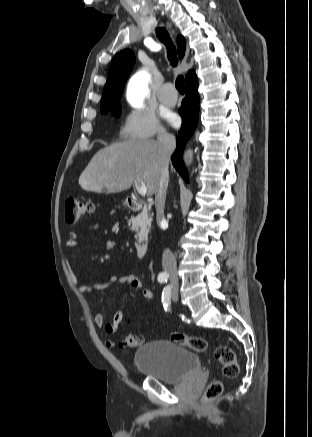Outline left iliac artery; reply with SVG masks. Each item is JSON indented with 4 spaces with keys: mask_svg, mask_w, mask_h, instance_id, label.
I'll return each instance as SVG.
<instances>
[{
    "mask_svg": "<svg viewBox=\"0 0 312 437\" xmlns=\"http://www.w3.org/2000/svg\"><path fill=\"white\" fill-rule=\"evenodd\" d=\"M170 299H171V286H166L162 292V302L165 309H167L168 306L170 305Z\"/></svg>",
    "mask_w": 312,
    "mask_h": 437,
    "instance_id": "44dca946",
    "label": "left iliac artery"
}]
</instances>
